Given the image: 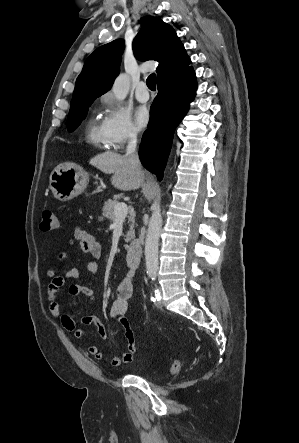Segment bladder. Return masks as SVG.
<instances>
[{
  "mask_svg": "<svg viewBox=\"0 0 299 443\" xmlns=\"http://www.w3.org/2000/svg\"><path fill=\"white\" fill-rule=\"evenodd\" d=\"M135 374L141 376L149 382H157L159 380V376L155 372L149 371L145 368L136 369Z\"/></svg>",
  "mask_w": 299,
  "mask_h": 443,
  "instance_id": "31cf9c89",
  "label": "bladder"
}]
</instances>
